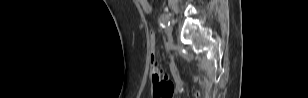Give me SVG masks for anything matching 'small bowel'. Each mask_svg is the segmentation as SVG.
<instances>
[{
    "mask_svg": "<svg viewBox=\"0 0 308 98\" xmlns=\"http://www.w3.org/2000/svg\"><path fill=\"white\" fill-rule=\"evenodd\" d=\"M139 4L144 13H150L152 11V6L149 0H139ZM173 84V83H172Z\"/></svg>",
    "mask_w": 308,
    "mask_h": 98,
    "instance_id": "small-bowel-1",
    "label": "small bowel"
}]
</instances>
